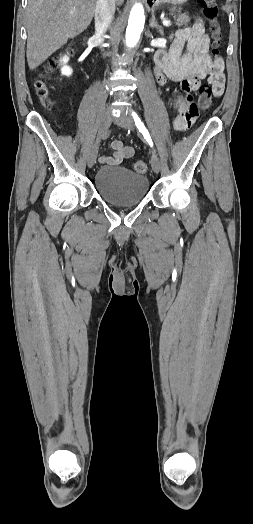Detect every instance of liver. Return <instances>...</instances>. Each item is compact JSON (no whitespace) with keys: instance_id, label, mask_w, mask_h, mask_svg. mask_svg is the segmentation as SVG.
Instances as JSON below:
<instances>
[{"instance_id":"liver-1","label":"liver","mask_w":253,"mask_h":524,"mask_svg":"<svg viewBox=\"0 0 253 524\" xmlns=\"http://www.w3.org/2000/svg\"><path fill=\"white\" fill-rule=\"evenodd\" d=\"M124 0H115L122 5ZM97 0H29L27 4V61L36 69L69 38L91 23Z\"/></svg>"}]
</instances>
